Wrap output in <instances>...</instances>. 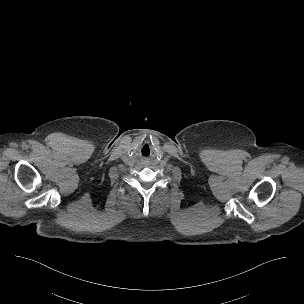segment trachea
I'll list each match as a JSON object with an SVG mask.
<instances>
[{"label":"trachea","mask_w":304,"mask_h":304,"mask_svg":"<svg viewBox=\"0 0 304 304\" xmlns=\"http://www.w3.org/2000/svg\"><path fill=\"white\" fill-rule=\"evenodd\" d=\"M152 154V147L150 145H142L140 147V155L142 158L147 159Z\"/></svg>","instance_id":"1"}]
</instances>
